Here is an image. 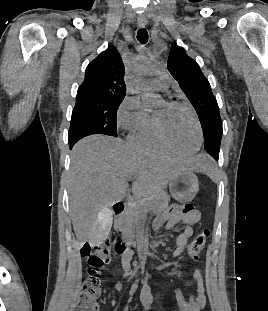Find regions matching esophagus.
Returning a JSON list of instances; mask_svg holds the SVG:
<instances>
[{
    "instance_id": "obj_1",
    "label": "esophagus",
    "mask_w": 268,
    "mask_h": 311,
    "mask_svg": "<svg viewBox=\"0 0 268 311\" xmlns=\"http://www.w3.org/2000/svg\"><path fill=\"white\" fill-rule=\"evenodd\" d=\"M137 22H138V26L140 28H144L146 26V24H147V20H146V18L144 16L138 17Z\"/></svg>"
}]
</instances>
